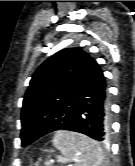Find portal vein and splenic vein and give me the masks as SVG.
I'll use <instances>...</instances> for the list:
<instances>
[{"mask_svg": "<svg viewBox=\"0 0 135 166\" xmlns=\"http://www.w3.org/2000/svg\"><path fill=\"white\" fill-rule=\"evenodd\" d=\"M46 165H47V166H50V165H51V163H50V162H47V163H46Z\"/></svg>", "mask_w": 135, "mask_h": 166, "instance_id": "obj_1", "label": "portal vein and splenic vein"}]
</instances>
